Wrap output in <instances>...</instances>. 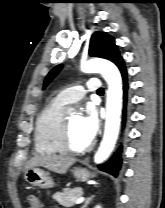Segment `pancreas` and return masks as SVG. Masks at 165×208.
Returning <instances> with one entry per match:
<instances>
[{
	"label": "pancreas",
	"mask_w": 165,
	"mask_h": 208,
	"mask_svg": "<svg viewBox=\"0 0 165 208\" xmlns=\"http://www.w3.org/2000/svg\"><path fill=\"white\" fill-rule=\"evenodd\" d=\"M82 194V188L80 187L74 189L64 188L61 192L55 193L53 199L64 207H71Z\"/></svg>",
	"instance_id": "obj_1"
}]
</instances>
